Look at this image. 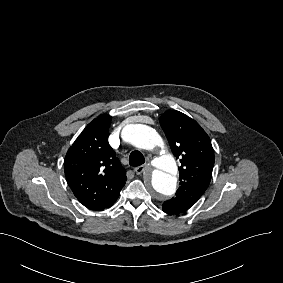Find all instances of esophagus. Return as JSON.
<instances>
[{"mask_svg": "<svg viewBox=\"0 0 283 283\" xmlns=\"http://www.w3.org/2000/svg\"><path fill=\"white\" fill-rule=\"evenodd\" d=\"M147 167H148L147 164H143V165H140V166L136 167L134 169V171L136 172V174H141L143 171L146 170Z\"/></svg>", "mask_w": 283, "mask_h": 283, "instance_id": "34e87169", "label": "esophagus"}]
</instances>
